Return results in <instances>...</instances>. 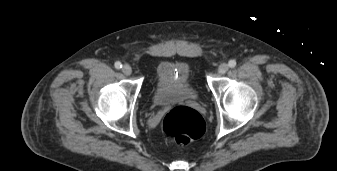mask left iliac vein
Returning <instances> with one entry per match:
<instances>
[{"instance_id": "obj_1", "label": "left iliac vein", "mask_w": 337, "mask_h": 171, "mask_svg": "<svg viewBox=\"0 0 337 171\" xmlns=\"http://www.w3.org/2000/svg\"><path fill=\"white\" fill-rule=\"evenodd\" d=\"M229 69V65L226 63H222L219 67H218V73L219 74H225Z\"/></svg>"}]
</instances>
